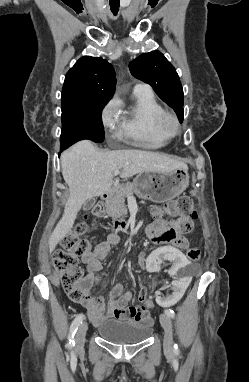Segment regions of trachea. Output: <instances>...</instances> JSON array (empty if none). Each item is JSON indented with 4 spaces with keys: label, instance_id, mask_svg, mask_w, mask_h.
Segmentation results:
<instances>
[{
    "label": "trachea",
    "instance_id": "1",
    "mask_svg": "<svg viewBox=\"0 0 249 382\" xmlns=\"http://www.w3.org/2000/svg\"><path fill=\"white\" fill-rule=\"evenodd\" d=\"M119 6H120L119 0H118V2H111L110 1V9L114 15H117V13L119 11Z\"/></svg>",
    "mask_w": 249,
    "mask_h": 382
}]
</instances>
